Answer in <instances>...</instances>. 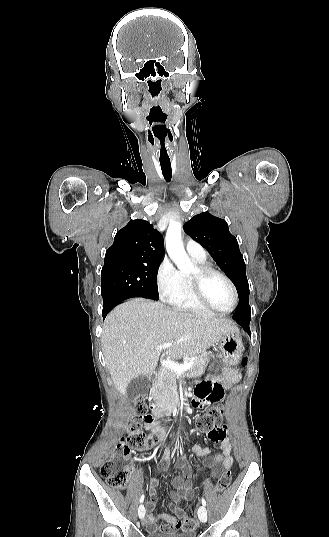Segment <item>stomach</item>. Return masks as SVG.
<instances>
[{
	"instance_id": "1",
	"label": "stomach",
	"mask_w": 329,
	"mask_h": 537,
	"mask_svg": "<svg viewBox=\"0 0 329 537\" xmlns=\"http://www.w3.org/2000/svg\"><path fill=\"white\" fill-rule=\"evenodd\" d=\"M225 364L234 366L239 363L243 351V343L239 330L228 332L218 341Z\"/></svg>"
}]
</instances>
